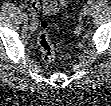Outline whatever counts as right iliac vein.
<instances>
[{
	"label": "right iliac vein",
	"mask_w": 111,
	"mask_h": 106,
	"mask_svg": "<svg viewBox=\"0 0 111 106\" xmlns=\"http://www.w3.org/2000/svg\"><path fill=\"white\" fill-rule=\"evenodd\" d=\"M22 21H23L24 23H27V22H28V18L22 17Z\"/></svg>",
	"instance_id": "1"
}]
</instances>
